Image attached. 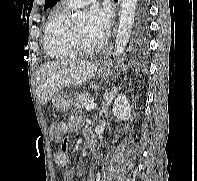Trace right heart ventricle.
<instances>
[{
  "instance_id": "obj_1",
  "label": "right heart ventricle",
  "mask_w": 197,
  "mask_h": 181,
  "mask_svg": "<svg viewBox=\"0 0 197 181\" xmlns=\"http://www.w3.org/2000/svg\"><path fill=\"white\" fill-rule=\"evenodd\" d=\"M69 12L67 7L54 11L46 22L43 46L46 55L52 59H70L78 55L69 39Z\"/></svg>"
}]
</instances>
